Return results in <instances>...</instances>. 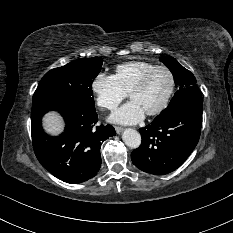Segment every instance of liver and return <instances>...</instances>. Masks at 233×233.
<instances>
[{"label":"liver","mask_w":233,"mask_h":233,"mask_svg":"<svg viewBox=\"0 0 233 233\" xmlns=\"http://www.w3.org/2000/svg\"><path fill=\"white\" fill-rule=\"evenodd\" d=\"M43 125L46 132L58 135L62 132L64 124L59 114L50 112L43 118Z\"/></svg>","instance_id":"6515ba94"}]
</instances>
